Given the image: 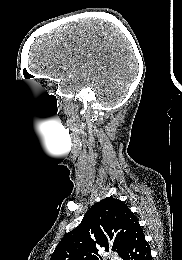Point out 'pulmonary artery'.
Wrapping results in <instances>:
<instances>
[{
  "mask_svg": "<svg viewBox=\"0 0 182 260\" xmlns=\"http://www.w3.org/2000/svg\"><path fill=\"white\" fill-rule=\"evenodd\" d=\"M110 260H121L118 256H112Z\"/></svg>",
  "mask_w": 182,
  "mask_h": 260,
  "instance_id": "pulmonary-artery-1",
  "label": "pulmonary artery"
}]
</instances>
